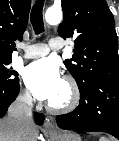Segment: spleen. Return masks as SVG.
Instances as JSON below:
<instances>
[{
	"mask_svg": "<svg viewBox=\"0 0 119 141\" xmlns=\"http://www.w3.org/2000/svg\"><path fill=\"white\" fill-rule=\"evenodd\" d=\"M100 141H108L107 139L105 138H101Z\"/></svg>",
	"mask_w": 119,
	"mask_h": 141,
	"instance_id": "obj_1",
	"label": "spleen"
}]
</instances>
